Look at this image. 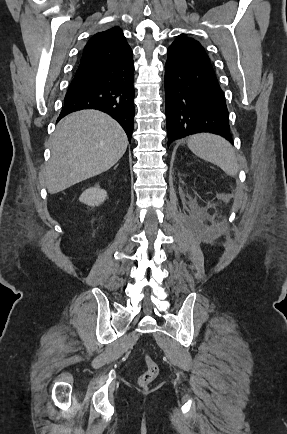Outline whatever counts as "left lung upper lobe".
<instances>
[{
    "instance_id": "1",
    "label": "left lung upper lobe",
    "mask_w": 287,
    "mask_h": 434,
    "mask_svg": "<svg viewBox=\"0 0 287 434\" xmlns=\"http://www.w3.org/2000/svg\"><path fill=\"white\" fill-rule=\"evenodd\" d=\"M168 54L210 64V59L202 45L192 38H187L185 34L179 35L170 45Z\"/></svg>"
}]
</instances>
